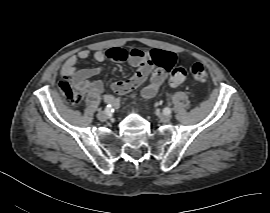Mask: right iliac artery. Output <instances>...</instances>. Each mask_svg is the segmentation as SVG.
Instances as JSON below:
<instances>
[{
    "instance_id": "82829eb1",
    "label": "right iliac artery",
    "mask_w": 270,
    "mask_h": 213,
    "mask_svg": "<svg viewBox=\"0 0 270 213\" xmlns=\"http://www.w3.org/2000/svg\"><path fill=\"white\" fill-rule=\"evenodd\" d=\"M114 109H113V107L111 106V105H107L106 107H105V111L107 112V113H110V112H112Z\"/></svg>"
}]
</instances>
